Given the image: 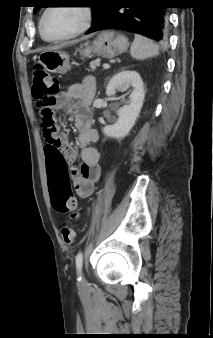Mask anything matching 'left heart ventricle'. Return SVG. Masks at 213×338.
Listing matches in <instances>:
<instances>
[{
  "mask_svg": "<svg viewBox=\"0 0 213 338\" xmlns=\"http://www.w3.org/2000/svg\"><path fill=\"white\" fill-rule=\"evenodd\" d=\"M83 22V13L76 7H56L45 17L43 34L48 39L59 38L77 30Z\"/></svg>",
  "mask_w": 213,
  "mask_h": 338,
  "instance_id": "obj_1",
  "label": "left heart ventricle"
}]
</instances>
